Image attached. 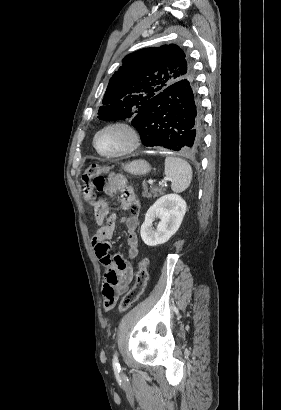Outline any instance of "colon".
Returning a JSON list of instances; mask_svg holds the SVG:
<instances>
[{
    "mask_svg": "<svg viewBox=\"0 0 281 410\" xmlns=\"http://www.w3.org/2000/svg\"><path fill=\"white\" fill-rule=\"evenodd\" d=\"M106 173V168L104 166H91L88 168L82 176V181L84 184L83 195L86 201L91 202L94 198L96 191H101L104 188V178L103 175ZM133 211H139L136 205H133ZM138 268L136 272V279L133 286L128 292L122 297L119 303V310L126 311L130 309L144 293L147 285L148 273H147V259L142 258L138 261ZM114 305L113 297L104 301V306L106 309L112 308Z\"/></svg>",
    "mask_w": 281,
    "mask_h": 410,
    "instance_id": "5ec220e1",
    "label": "colon"
}]
</instances>
